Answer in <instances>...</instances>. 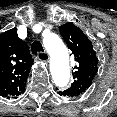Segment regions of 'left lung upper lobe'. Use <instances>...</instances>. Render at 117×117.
<instances>
[{"label": "left lung upper lobe", "instance_id": "1", "mask_svg": "<svg viewBox=\"0 0 117 117\" xmlns=\"http://www.w3.org/2000/svg\"><path fill=\"white\" fill-rule=\"evenodd\" d=\"M59 31L76 61L72 72L74 82L63 92L65 96L78 97L88 90L97 74L98 59L91 41L79 27L73 23H67L60 26Z\"/></svg>", "mask_w": 117, "mask_h": 117}]
</instances>
